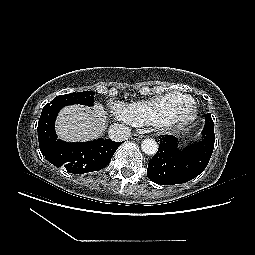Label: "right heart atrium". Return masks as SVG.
I'll use <instances>...</instances> for the list:
<instances>
[{
    "label": "right heart atrium",
    "mask_w": 255,
    "mask_h": 255,
    "mask_svg": "<svg viewBox=\"0 0 255 255\" xmlns=\"http://www.w3.org/2000/svg\"><path fill=\"white\" fill-rule=\"evenodd\" d=\"M123 105L117 103V104H113L111 106L112 111L119 116L122 119V115H123Z\"/></svg>",
    "instance_id": "1"
}]
</instances>
